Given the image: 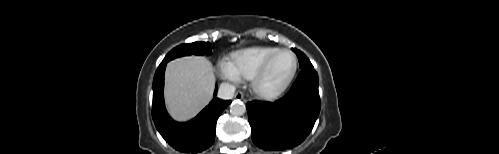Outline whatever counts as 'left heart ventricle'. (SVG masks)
Here are the masks:
<instances>
[{"label":"left heart ventricle","instance_id":"b2bd125f","mask_svg":"<svg viewBox=\"0 0 499 154\" xmlns=\"http://www.w3.org/2000/svg\"><path fill=\"white\" fill-rule=\"evenodd\" d=\"M292 67V59L288 54L279 55L272 63L264 81L265 88H273L279 84L289 73Z\"/></svg>","mask_w":499,"mask_h":154}]
</instances>
